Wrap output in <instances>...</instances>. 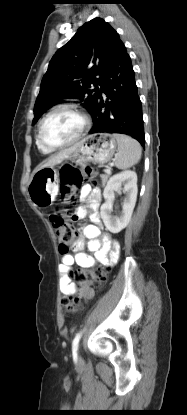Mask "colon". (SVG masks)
Returning <instances> with one entry per match:
<instances>
[{
	"mask_svg": "<svg viewBox=\"0 0 187 415\" xmlns=\"http://www.w3.org/2000/svg\"><path fill=\"white\" fill-rule=\"evenodd\" d=\"M85 181H95V171L91 167L79 169L67 166L60 172V192L63 199L73 198L77 195ZM76 217H67L60 212H52L49 220L56 232L59 241V251L66 253L74 239L75 227L73 220ZM109 268L107 266L93 267L89 269H78L74 277L80 285L79 294L62 300V305L68 313L77 311L81 306V300H90L94 296V290L100 289L107 279Z\"/></svg>",
	"mask_w": 187,
	"mask_h": 415,
	"instance_id": "5ec220e1",
	"label": "colon"
}]
</instances>
